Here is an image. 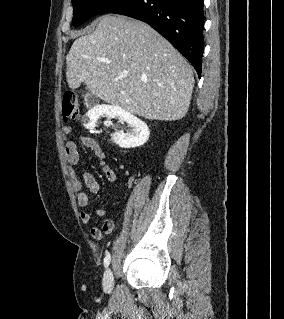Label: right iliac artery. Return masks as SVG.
Here are the masks:
<instances>
[{
  "instance_id": "1",
  "label": "right iliac artery",
  "mask_w": 284,
  "mask_h": 319,
  "mask_svg": "<svg viewBox=\"0 0 284 319\" xmlns=\"http://www.w3.org/2000/svg\"><path fill=\"white\" fill-rule=\"evenodd\" d=\"M110 261H111V256L109 253H107L105 258H104V266L108 267V265L110 264Z\"/></svg>"
}]
</instances>
